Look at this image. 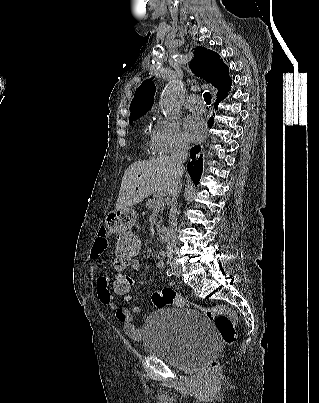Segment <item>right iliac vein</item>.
Returning <instances> with one entry per match:
<instances>
[{
    "label": "right iliac vein",
    "mask_w": 319,
    "mask_h": 403,
    "mask_svg": "<svg viewBox=\"0 0 319 403\" xmlns=\"http://www.w3.org/2000/svg\"><path fill=\"white\" fill-rule=\"evenodd\" d=\"M173 268H174V270H175L176 272H178V273L181 272L180 268H178V267H176V266H174Z\"/></svg>",
    "instance_id": "right-iliac-vein-1"
}]
</instances>
